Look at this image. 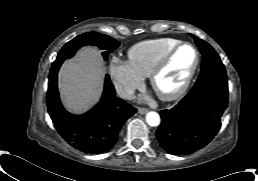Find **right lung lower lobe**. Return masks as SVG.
<instances>
[{
    "label": "right lung lower lobe",
    "mask_w": 258,
    "mask_h": 181,
    "mask_svg": "<svg viewBox=\"0 0 258 181\" xmlns=\"http://www.w3.org/2000/svg\"><path fill=\"white\" fill-rule=\"evenodd\" d=\"M62 63V60L53 62L47 92L48 112L56 129L80 151L100 154L110 150L122 125L136 112V108L116 97L114 86L106 75L100 102L83 115L68 113L61 105L57 88V74Z\"/></svg>",
    "instance_id": "1"
}]
</instances>
